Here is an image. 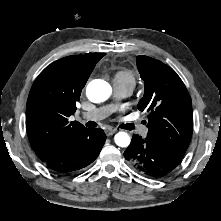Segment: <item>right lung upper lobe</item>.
I'll use <instances>...</instances> for the list:
<instances>
[{"instance_id":"obj_1","label":"right lung upper lobe","mask_w":221,"mask_h":221,"mask_svg":"<svg viewBox=\"0 0 221 221\" xmlns=\"http://www.w3.org/2000/svg\"><path fill=\"white\" fill-rule=\"evenodd\" d=\"M105 53L71 55L48 65L36 78L27 100L26 129L42 162L56 156L87 128L68 118L76 111L81 91Z\"/></svg>"}]
</instances>
